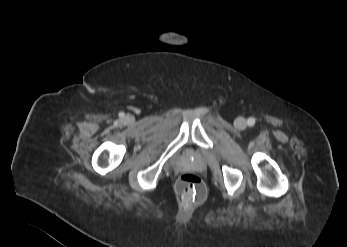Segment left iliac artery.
<instances>
[{"mask_svg": "<svg viewBox=\"0 0 347 247\" xmlns=\"http://www.w3.org/2000/svg\"><path fill=\"white\" fill-rule=\"evenodd\" d=\"M254 124H255V119L252 118V117L249 118V119H248V125H249V126H253Z\"/></svg>", "mask_w": 347, "mask_h": 247, "instance_id": "44dca946", "label": "left iliac artery"}]
</instances>
